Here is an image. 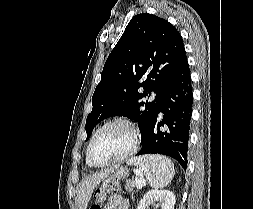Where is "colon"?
<instances>
[{
    "label": "colon",
    "mask_w": 253,
    "mask_h": 209,
    "mask_svg": "<svg viewBox=\"0 0 253 209\" xmlns=\"http://www.w3.org/2000/svg\"><path fill=\"white\" fill-rule=\"evenodd\" d=\"M107 183H113V182H107ZM105 189H106V188H99V189L96 191L95 200H96L97 202H99V201L102 199L103 195H104L105 192H106ZM90 209H100V207H99L97 204H94V205H92V206L90 207Z\"/></svg>",
    "instance_id": "5ec220e1"
}]
</instances>
